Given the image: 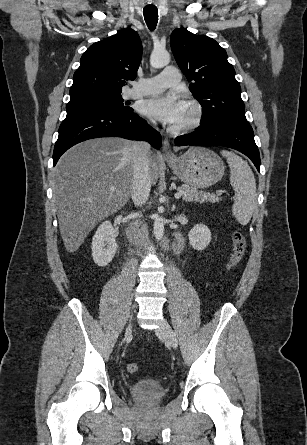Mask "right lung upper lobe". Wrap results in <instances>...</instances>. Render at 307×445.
I'll return each instance as SVG.
<instances>
[{"instance_id":"cb5924a9","label":"right lung upper lobe","mask_w":307,"mask_h":445,"mask_svg":"<svg viewBox=\"0 0 307 445\" xmlns=\"http://www.w3.org/2000/svg\"><path fill=\"white\" fill-rule=\"evenodd\" d=\"M141 57V40L130 28L94 43L74 73L71 99L121 94L125 80L136 78Z\"/></svg>"}]
</instances>
